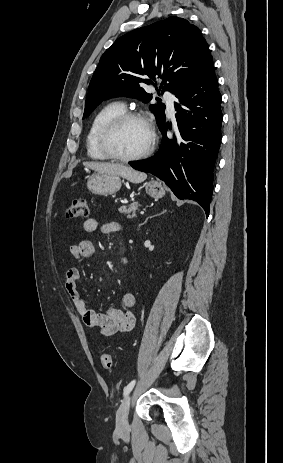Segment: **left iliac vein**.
Here are the masks:
<instances>
[{
	"instance_id": "1",
	"label": "left iliac vein",
	"mask_w": 283,
	"mask_h": 463,
	"mask_svg": "<svg viewBox=\"0 0 283 463\" xmlns=\"http://www.w3.org/2000/svg\"><path fill=\"white\" fill-rule=\"evenodd\" d=\"M130 395H127L122 401L116 416L117 429L119 431H124L128 428V414L130 409Z\"/></svg>"
}]
</instances>
